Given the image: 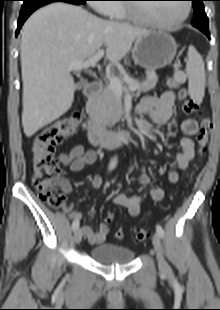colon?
<instances>
[{"label": "colon", "instance_id": "5ec220e1", "mask_svg": "<svg viewBox=\"0 0 220 310\" xmlns=\"http://www.w3.org/2000/svg\"><path fill=\"white\" fill-rule=\"evenodd\" d=\"M186 75L177 72L168 78L169 87L178 90V96L183 102V110L188 114H199L200 106L194 100L188 98L187 91L181 87ZM82 119L80 112L75 111L63 117L53 124L37 132L30 146L31 168L33 172V186L38 191L42 200L51 208L59 209L65 204V186L60 182V169L54 156L55 148L68 136L75 133ZM213 124L207 117L202 118L200 128L196 135L197 154L202 156L206 150ZM113 213L106 215L105 221L112 222ZM124 231L119 229L115 233L117 239H123ZM148 237V232L139 230L135 235L136 242H142Z\"/></svg>", "mask_w": 220, "mask_h": 310}]
</instances>
